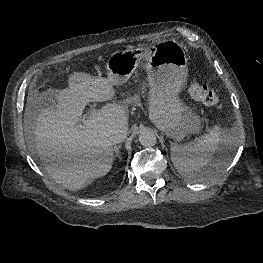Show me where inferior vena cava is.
Masks as SVG:
<instances>
[{
	"mask_svg": "<svg viewBox=\"0 0 263 263\" xmlns=\"http://www.w3.org/2000/svg\"><path fill=\"white\" fill-rule=\"evenodd\" d=\"M128 135V129L126 127L114 128L110 131V140L113 144L121 143L126 139Z\"/></svg>",
	"mask_w": 263,
	"mask_h": 263,
	"instance_id": "obj_1",
	"label": "inferior vena cava"
}]
</instances>
